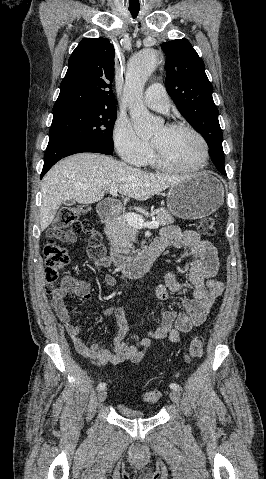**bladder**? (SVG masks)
Segmentation results:
<instances>
[{"mask_svg":"<svg viewBox=\"0 0 266 479\" xmlns=\"http://www.w3.org/2000/svg\"><path fill=\"white\" fill-rule=\"evenodd\" d=\"M117 408H118V411H119L120 415L123 416V417L144 418L146 416L143 412L133 410L124 403H119Z\"/></svg>","mask_w":266,"mask_h":479,"instance_id":"bladder-1","label":"bladder"}]
</instances>
